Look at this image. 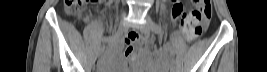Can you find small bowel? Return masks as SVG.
<instances>
[{"label": "small bowel", "mask_w": 267, "mask_h": 72, "mask_svg": "<svg viewBox=\"0 0 267 72\" xmlns=\"http://www.w3.org/2000/svg\"><path fill=\"white\" fill-rule=\"evenodd\" d=\"M179 6L181 8L180 11H174L173 7L174 4L172 6V18L174 20H180L182 22H184L185 24H191L195 22V17L192 16L189 12H183V7L181 5V3H179ZM150 41V39L146 36H138L134 33H130L128 35H126L123 39L122 42H124L126 44V50H125V56L126 57H131L133 55V49H134V45L135 44H139V45H144L146 43H148ZM155 56L159 59H161L162 54L159 51L155 52Z\"/></svg>", "instance_id": "1"}]
</instances>
